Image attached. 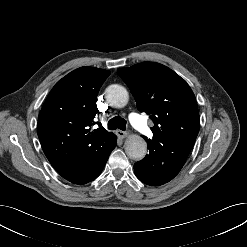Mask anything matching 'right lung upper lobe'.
<instances>
[{
  "instance_id": "right-lung-upper-lobe-1",
  "label": "right lung upper lobe",
  "mask_w": 247,
  "mask_h": 247,
  "mask_svg": "<svg viewBox=\"0 0 247 247\" xmlns=\"http://www.w3.org/2000/svg\"><path fill=\"white\" fill-rule=\"evenodd\" d=\"M110 71L78 68L56 83L38 116V137L51 165L58 171L103 148L115 135L91 130L100 87Z\"/></svg>"
}]
</instances>
